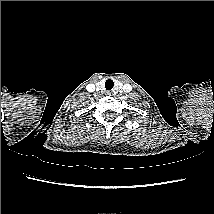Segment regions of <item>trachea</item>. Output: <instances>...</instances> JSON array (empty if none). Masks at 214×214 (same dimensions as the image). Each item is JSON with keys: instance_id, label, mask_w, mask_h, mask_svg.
<instances>
[{"instance_id": "1", "label": "trachea", "mask_w": 214, "mask_h": 214, "mask_svg": "<svg viewBox=\"0 0 214 214\" xmlns=\"http://www.w3.org/2000/svg\"><path fill=\"white\" fill-rule=\"evenodd\" d=\"M113 86H114L113 80H111V79L106 80V82H105V88L107 90H111L113 88Z\"/></svg>"}]
</instances>
